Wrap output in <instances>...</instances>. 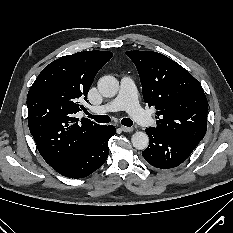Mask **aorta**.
I'll use <instances>...</instances> for the list:
<instances>
[{
    "mask_svg": "<svg viewBox=\"0 0 233 233\" xmlns=\"http://www.w3.org/2000/svg\"><path fill=\"white\" fill-rule=\"evenodd\" d=\"M98 90L104 97H114L119 90V82L113 76H103L97 84ZM131 142L133 147L144 150L148 147L149 138L145 132L139 131L132 135Z\"/></svg>",
    "mask_w": 233,
    "mask_h": 233,
    "instance_id": "1",
    "label": "aorta"
}]
</instances>
